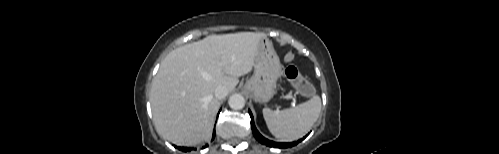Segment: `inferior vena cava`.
<instances>
[{
    "label": "inferior vena cava",
    "instance_id": "1",
    "mask_svg": "<svg viewBox=\"0 0 499 154\" xmlns=\"http://www.w3.org/2000/svg\"><path fill=\"white\" fill-rule=\"evenodd\" d=\"M214 94H215V97H216L217 99H219V100H220V99H223V98H225V97L227 96V94H228V89H227V87H226V86H224V85H218V86L216 87V89H215V93H214Z\"/></svg>",
    "mask_w": 499,
    "mask_h": 154
}]
</instances>
